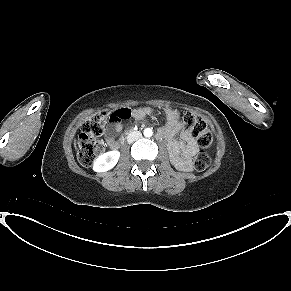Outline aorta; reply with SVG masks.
<instances>
[{
	"label": "aorta",
	"mask_w": 291,
	"mask_h": 291,
	"mask_svg": "<svg viewBox=\"0 0 291 291\" xmlns=\"http://www.w3.org/2000/svg\"><path fill=\"white\" fill-rule=\"evenodd\" d=\"M153 135V131L151 128L144 129V136L145 137H151Z\"/></svg>",
	"instance_id": "1"
}]
</instances>
